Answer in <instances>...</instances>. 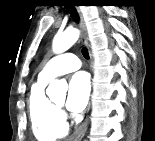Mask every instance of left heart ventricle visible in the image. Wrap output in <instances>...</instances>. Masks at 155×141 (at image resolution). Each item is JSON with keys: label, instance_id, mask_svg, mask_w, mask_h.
<instances>
[{"label": "left heart ventricle", "instance_id": "left-heart-ventricle-1", "mask_svg": "<svg viewBox=\"0 0 155 141\" xmlns=\"http://www.w3.org/2000/svg\"><path fill=\"white\" fill-rule=\"evenodd\" d=\"M58 105H63V102H57Z\"/></svg>", "mask_w": 155, "mask_h": 141}]
</instances>
